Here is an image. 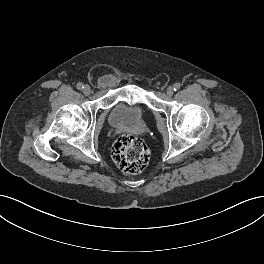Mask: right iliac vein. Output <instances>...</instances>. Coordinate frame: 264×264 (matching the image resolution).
Here are the masks:
<instances>
[{"instance_id": "63e3f726", "label": "right iliac vein", "mask_w": 264, "mask_h": 264, "mask_svg": "<svg viewBox=\"0 0 264 264\" xmlns=\"http://www.w3.org/2000/svg\"><path fill=\"white\" fill-rule=\"evenodd\" d=\"M83 93L85 95H89L91 93V88L89 85H85L84 88H83Z\"/></svg>"}]
</instances>
